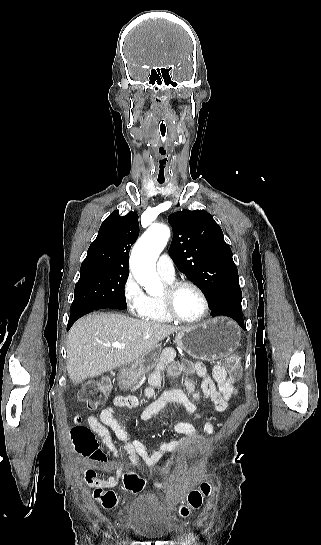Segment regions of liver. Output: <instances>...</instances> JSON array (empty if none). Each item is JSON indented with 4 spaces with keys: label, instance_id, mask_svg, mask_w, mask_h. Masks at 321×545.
<instances>
[{
    "label": "liver",
    "instance_id": "obj_1",
    "mask_svg": "<svg viewBox=\"0 0 321 545\" xmlns=\"http://www.w3.org/2000/svg\"><path fill=\"white\" fill-rule=\"evenodd\" d=\"M184 327L139 321L125 315L91 313L74 323L67 339V371L78 385L147 355L157 343ZM106 343H124L123 349Z\"/></svg>",
    "mask_w": 321,
    "mask_h": 545
}]
</instances>
